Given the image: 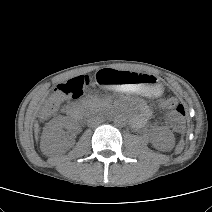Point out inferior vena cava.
<instances>
[{"instance_id":"obj_1","label":"inferior vena cava","mask_w":212,"mask_h":212,"mask_svg":"<svg viewBox=\"0 0 212 212\" xmlns=\"http://www.w3.org/2000/svg\"><path fill=\"white\" fill-rule=\"evenodd\" d=\"M101 122H102V119L100 117H91L87 120V125L89 127H93Z\"/></svg>"}]
</instances>
